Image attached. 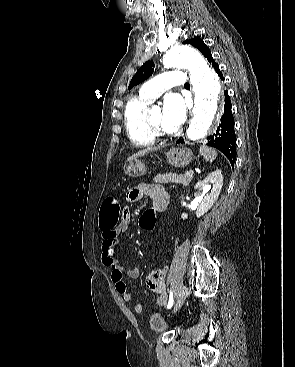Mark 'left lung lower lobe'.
I'll return each instance as SVG.
<instances>
[{
    "mask_svg": "<svg viewBox=\"0 0 295 367\" xmlns=\"http://www.w3.org/2000/svg\"><path fill=\"white\" fill-rule=\"evenodd\" d=\"M223 80V75L219 70V65L215 63L214 59L209 61ZM224 111L221 118V123L216 132L207 137V145L220 150L229 159L231 165L234 164L236 159V136L234 133V119L231 112V100L228 95V91L224 92ZM178 143L183 142L180 138Z\"/></svg>",
    "mask_w": 295,
    "mask_h": 367,
    "instance_id": "0a47b994",
    "label": "left lung lower lobe"
}]
</instances>
